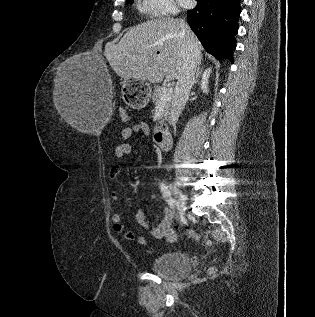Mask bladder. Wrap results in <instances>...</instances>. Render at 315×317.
<instances>
[{"instance_id":"bladder-1","label":"bladder","mask_w":315,"mask_h":317,"mask_svg":"<svg viewBox=\"0 0 315 317\" xmlns=\"http://www.w3.org/2000/svg\"><path fill=\"white\" fill-rule=\"evenodd\" d=\"M151 270L169 279H179L189 274L191 264L186 254L168 252L160 254L153 259Z\"/></svg>"}]
</instances>
